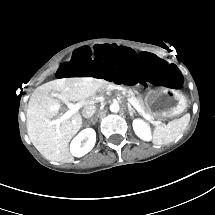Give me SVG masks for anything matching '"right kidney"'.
Returning a JSON list of instances; mask_svg holds the SVG:
<instances>
[{
    "label": "right kidney",
    "mask_w": 215,
    "mask_h": 215,
    "mask_svg": "<svg viewBox=\"0 0 215 215\" xmlns=\"http://www.w3.org/2000/svg\"><path fill=\"white\" fill-rule=\"evenodd\" d=\"M88 138L84 147H81V141ZM96 142V132L92 128L82 130L71 142L70 152L75 157H82L94 147Z\"/></svg>",
    "instance_id": "obj_1"
}]
</instances>
